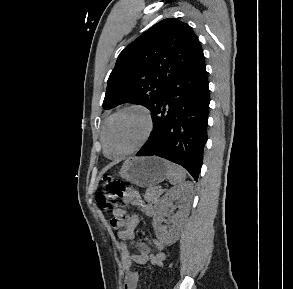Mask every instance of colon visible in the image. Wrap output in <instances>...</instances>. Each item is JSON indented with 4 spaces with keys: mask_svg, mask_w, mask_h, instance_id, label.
Listing matches in <instances>:
<instances>
[{
    "mask_svg": "<svg viewBox=\"0 0 293 289\" xmlns=\"http://www.w3.org/2000/svg\"><path fill=\"white\" fill-rule=\"evenodd\" d=\"M103 182L104 189L98 194L97 202L103 210L111 212L115 209L118 198L125 192L126 187L110 176H106ZM122 224L123 221L120 219L113 218L111 220V225L114 228H119Z\"/></svg>",
    "mask_w": 293,
    "mask_h": 289,
    "instance_id": "obj_1",
    "label": "colon"
}]
</instances>
